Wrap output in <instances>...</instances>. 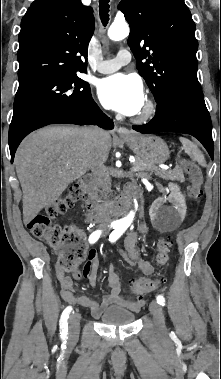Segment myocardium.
Here are the masks:
<instances>
[{
	"label": "myocardium",
	"instance_id": "1",
	"mask_svg": "<svg viewBox=\"0 0 221 379\" xmlns=\"http://www.w3.org/2000/svg\"><path fill=\"white\" fill-rule=\"evenodd\" d=\"M156 113V104L151 98H147L142 110L133 118L136 123L149 121Z\"/></svg>",
	"mask_w": 221,
	"mask_h": 379
}]
</instances>
